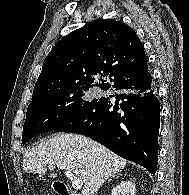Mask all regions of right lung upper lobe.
<instances>
[{
	"mask_svg": "<svg viewBox=\"0 0 189 195\" xmlns=\"http://www.w3.org/2000/svg\"><path fill=\"white\" fill-rule=\"evenodd\" d=\"M146 55L133 29L122 21L102 19L61 39L44 60L33 100L74 86H93L95 76L112 83L141 74ZM109 83L95 84L101 88Z\"/></svg>",
	"mask_w": 189,
	"mask_h": 195,
	"instance_id": "1",
	"label": "right lung upper lobe"
}]
</instances>
